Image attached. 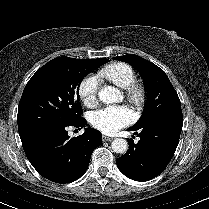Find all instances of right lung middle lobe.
Returning a JSON list of instances; mask_svg holds the SVG:
<instances>
[{
  "label": "right lung middle lobe",
  "mask_w": 209,
  "mask_h": 209,
  "mask_svg": "<svg viewBox=\"0 0 209 209\" xmlns=\"http://www.w3.org/2000/svg\"><path fill=\"white\" fill-rule=\"evenodd\" d=\"M95 68L89 60L58 57L37 70L20 99L17 116L20 137L81 118L79 86Z\"/></svg>",
  "instance_id": "1"
}]
</instances>
